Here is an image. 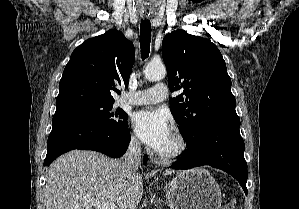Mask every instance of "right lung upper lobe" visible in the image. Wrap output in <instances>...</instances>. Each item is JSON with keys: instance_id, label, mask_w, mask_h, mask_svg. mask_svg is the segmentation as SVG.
<instances>
[{"instance_id": "1", "label": "right lung upper lobe", "mask_w": 299, "mask_h": 209, "mask_svg": "<svg viewBox=\"0 0 299 209\" xmlns=\"http://www.w3.org/2000/svg\"><path fill=\"white\" fill-rule=\"evenodd\" d=\"M135 58L134 45L115 29L90 38L71 54L59 84L56 105L114 102L117 85L127 87Z\"/></svg>"}]
</instances>
